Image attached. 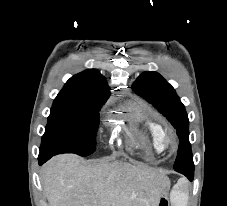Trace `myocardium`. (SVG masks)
<instances>
[{
	"instance_id": "1",
	"label": "myocardium",
	"mask_w": 227,
	"mask_h": 206,
	"mask_svg": "<svg viewBox=\"0 0 227 206\" xmlns=\"http://www.w3.org/2000/svg\"><path fill=\"white\" fill-rule=\"evenodd\" d=\"M159 144L162 151H168L176 147L177 140L173 133L163 131L160 137Z\"/></svg>"
}]
</instances>
